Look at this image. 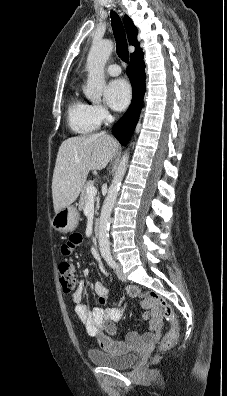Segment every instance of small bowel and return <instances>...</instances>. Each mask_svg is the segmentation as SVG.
I'll return each mask as SVG.
<instances>
[{"label": "small bowel", "mask_w": 227, "mask_h": 396, "mask_svg": "<svg viewBox=\"0 0 227 396\" xmlns=\"http://www.w3.org/2000/svg\"><path fill=\"white\" fill-rule=\"evenodd\" d=\"M80 242L81 236L79 234L72 235L69 241L62 247L63 254H71ZM94 290L99 297L100 303L104 304L108 301L109 289L104 283L97 281L94 284ZM84 291L85 282L80 280L72 295L75 303V314L84 323L87 333L97 338L103 350L112 352L120 350L127 345L133 346L141 343H153L160 337L163 327L162 317L159 309L144 296L147 292H142L138 287H131L127 290L128 295L141 297V306L146 310L144 317L149 320V331L144 334L135 331L129 332L126 335L125 342H121L115 340L113 336L117 332L115 323L121 319L123 314L122 308L96 307L90 310L82 303Z\"/></svg>", "instance_id": "1"}]
</instances>
